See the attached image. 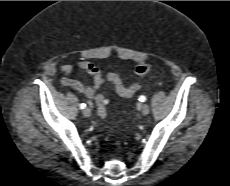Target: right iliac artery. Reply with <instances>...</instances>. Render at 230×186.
Instances as JSON below:
<instances>
[{
    "instance_id": "obj_1",
    "label": "right iliac artery",
    "mask_w": 230,
    "mask_h": 186,
    "mask_svg": "<svg viewBox=\"0 0 230 186\" xmlns=\"http://www.w3.org/2000/svg\"><path fill=\"white\" fill-rule=\"evenodd\" d=\"M86 107V105L84 103L80 104V108L84 109Z\"/></svg>"
}]
</instances>
